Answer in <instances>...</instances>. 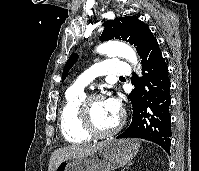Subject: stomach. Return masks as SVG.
Listing matches in <instances>:
<instances>
[{
  "mask_svg": "<svg viewBox=\"0 0 199 171\" xmlns=\"http://www.w3.org/2000/svg\"><path fill=\"white\" fill-rule=\"evenodd\" d=\"M139 150L134 139H108L83 156L64 160L54 171H113L129 163Z\"/></svg>",
  "mask_w": 199,
  "mask_h": 171,
  "instance_id": "1",
  "label": "stomach"
}]
</instances>
